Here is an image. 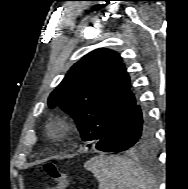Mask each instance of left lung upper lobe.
I'll list each match as a JSON object with an SVG mask.
<instances>
[{
  "instance_id": "1",
  "label": "left lung upper lobe",
  "mask_w": 188,
  "mask_h": 189,
  "mask_svg": "<svg viewBox=\"0 0 188 189\" xmlns=\"http://www.w3.org/2000/svg\"><path fill=\"white\" fill-rule=\"evenodd\" d=\"M135 104L122 58L103 48L74 64L48 98L49 107L59 106L70 114L82 140L92 144L103 138Z\"/></svg>"
}]
</instances>
